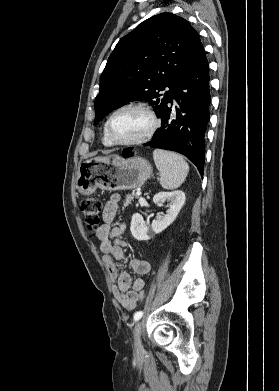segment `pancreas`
<instances>
[{
  "mask_svg": "<svg viewBox=\"0 0 279 391\" xmlns=\"http://www.w3.org/2000/svg\"><path fill=\"white\" fill-rule=\"evenodd\" d=\"M134 197H135V198H138V195H136L135 193L128 194V195L126 196V199H125V203H124V204H125L126 206L129 205V204H131V201H133Z\"/></svg>",
  "mask_w": 279,
  "mask_h": 391,
  "instance_id": "pancreas-1",
  "label": "pancreas"
}]
</instances>
